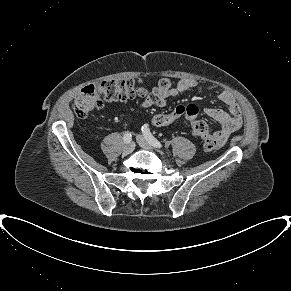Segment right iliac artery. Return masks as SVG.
<instances>
[{"label":"right iliac artery","mask_w":291,"mask_h":291,"mask_svg":"<svg viewBox=\"0 0 291 291\" xmlns=\"http://www.w3.org/2000/svg\"><path fill=\"white\" fill-rule=\"evenodd\" d=\"M123 140L125 143H130L132 140V136L130 132H125L123 136Z\"/></svg>","instance_id":"1"}]
</instances>
